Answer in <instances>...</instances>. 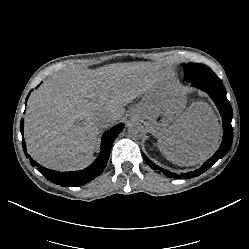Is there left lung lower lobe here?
<instances>
[{
	"mask_svg": "<svg viewBox=\"0 0 249 249\" xmlns=\"http://www.w3.org/2000/svg\"><path fill=\"white\" fill-rule=\"evenodd\" d=\"M192 86L205 91L212 98L217 108L219 109V112L223 120V131H224L223 140L217 152L210 159H208L203 164V166L189 173H182V174L171 173L170 171L162 169L158 167L157 165H155L151 160H149L145 156V154H143V157L146 163L152 169L158 170L170 178H176V179L192 178V177L201 175L203 172L209 169L212 165H214L220 158H222L228 152V150L230 149L231 143H232L233 129L231 126V121L233 117V110L230 105V102L228 101L226 97V90L222 84V81L220 79L204 80V81H198V82L192 83Z\"/></svg>",
	"mask_w": 249,
	"mask_h": 249,
	"instance_id": "1",
	"label": "left lung lower lobe"
}]
</instances>
